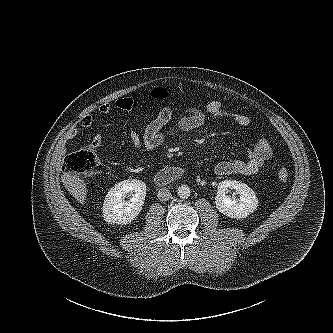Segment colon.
<instances>
[{
    "label": "colon",
    "mask_w": 333,
    "mask_h": 333,
    "mask_svg": "<svg viewBox=\"0 0 333 333\" xmlns=\"http://www.w3.org/2000/svg\"><path fill=\"white\" fill-rule=\"evenodd\" d=\"M152 97L158 100H165L168 96L163 88H155L151 91ZM63 169L68 173H74L83 176H94L104 171V166L92 146H85L80 150L68 154L63 162ZM278 178L281 182H286L289 178V172L282 167L278 170Z\"/></svg>",
    "instance_id": "colon-1"
}]
</instances>
